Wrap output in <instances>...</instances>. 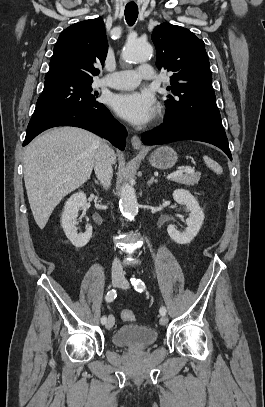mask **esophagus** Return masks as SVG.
<instances>
[{"instance_id":"1","label":"esophagus","mask_w":265,"mask_h":407,"mask_svg":"<svg viewBox=\"0 0 265 407\" xmlns=\"http://www.w3.org/2000/svg\"><path fill=\"white\" fill-rule=\"evenodd\" d=\"M131 144H132L134 149L140 150V149L143 148L142 142H141L140 138L137 135H134L131 138Z\"/></svg>"}]
</instances>
